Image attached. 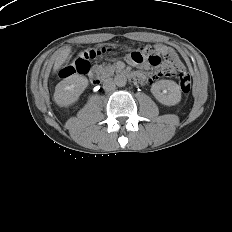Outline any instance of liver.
<instances>
[{"label": "liver", "mask_w": 232, "mask_h": 232, "mask_svg": "<svg viewBox=\"0 0 232 232\" xmlns=\"http://www.w3.org/2000/svg\"><path fill=\"white\" fill-rule=\"evenodd\" d=\"M70 53H71L70 47L63 49L59 53V55L56 57L54 67H53L54 73H56V71L59 70L62 67V65L70 59Z\"/></svg>", "instance_id": "obj_1"}]
</instances>
